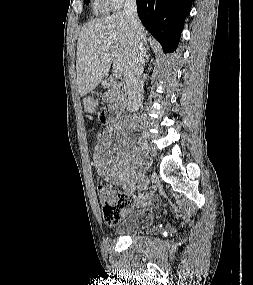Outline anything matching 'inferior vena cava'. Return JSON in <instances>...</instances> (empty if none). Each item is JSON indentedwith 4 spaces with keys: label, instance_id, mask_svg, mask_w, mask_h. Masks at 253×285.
I'll use <instances>...</instances> for the list:
<instances>
[{
    "label": "inferior vena cava",
    "instance_id": "inferior-vena-cava-1",
    "mask_svg": "<svg viewBox=\"0 0 253 285\" xmlns=\"http://www.w3.org/2000/svg\"><path fill=\"white\" fill-rule=\"evenodd\" d=\"M123 13L130 23L133 43L125 67V82L128 93L127 110L137 111L143 100V81L146 56V41L144 28L138 18L136 0H125Z\"/></svg>",
    "mask_w": 253,
    "mask_h": 285
}]
</instances>
